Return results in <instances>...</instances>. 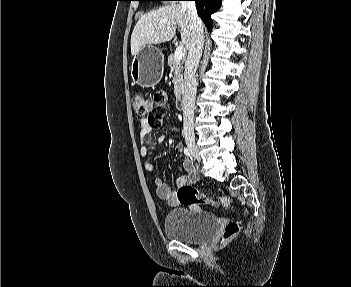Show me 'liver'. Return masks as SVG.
<instances>
[{
    "instance_id": "1",
    "label": "liver",
    "mask_w": 351,
    "mask_h": 287,
    "mask_svg": "<svg viewBox=\"0 0 351 287\" xmlns=\"http://www.w3.org/2000/svg\"><path fill=\"white\" fill-rule=\"evenodd\" d=\"M181 29V44L187 50L191 45L192 28L187 9L173 3L142 15L131 35V54L136 55L145 45L170 41Z\"/></svg>"
}]
</instances>
